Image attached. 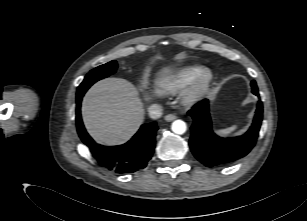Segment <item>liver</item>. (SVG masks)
Returning a JSON list of instances; mask_svg holds the SVG:
<instances>
[{"instance_id": "1", "label": "liver", "mask_w": 307, "mask_h": 221, "mask_svg": "<svg viewBox=\"0 0 307 221\" xmlns=\"http://www.w3.org/2000/svg\"><path fill=\"white\" fill-rule=\"evenodd\" d=\"M169 68L163 70L164 75ZM144 105L137 88L122 78H106L94 84L82 101V118L91 137L100 144L129 140L144 121Z\"/></svg>"}]
</instances>
